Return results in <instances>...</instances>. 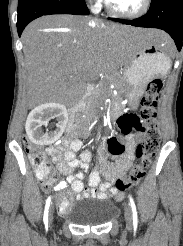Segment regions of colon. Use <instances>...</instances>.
Wrapping results in <instances>:
<instances>
[{
    "label": "colon",
    "instance_id": "obj_1",
    "mask_svg": "<svg viewBox=\"0 0 183 246\" xmlns=\"http://www.w3.org/2000/svg\"><path fill=\"white\" fill-rule=\"evenodd\" d=\"M163 82L161 79H153L147 86L146 92L141 99L139 114H122L117 120L116 136H111L107 140L109 155L120 157L125 155V143H121L118 138L139 132L144 135V140L137 146L136 156L138 163L131 169L126 177L117 178L114 187L123 192L129 187L137 184L145 175L146 168L151 159L157 153L161 133L158 124V102L160 99ZM26 148L32 164L36 167L37 176L42 181L50 180V168L46 161V154L43 150L35 148L26 141ZM59 211L67 209V203L59 200Z\"/></svg>",
    "mask_w": 183,
    "mask_h": 246
}]
</instances>
